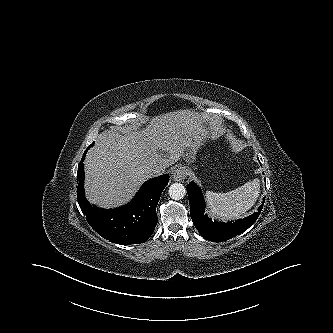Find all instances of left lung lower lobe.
<instances>
[{
    "label": "left lung lower lobe",
    "instance_id": "obj_1",
    "mask_svg": "<svg viewBox=\"0 0 333 333\" xmlns=\"http://www.w3.org/2000/svg\"><path fill=\"white\" fill-rule=\"evenodd\" d=\"M187 193L193 224L205 239L212 242L227 241L251 227L259 217L265 202L264 198L263 203L258 208V212L253 213L251 216L236 220V222L223 223L212 221L204 214V198L201 190L193 181L187 185Z\"/></svg>",
    "mask_w": 333,
    "mask_h": 333
}]
</instances>
